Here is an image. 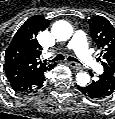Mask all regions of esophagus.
<instances>
[{
	"mask_svg": "<svg viewBox=\"0 0 115 119\" xmlns=\"http://www.w3.org/2000/svg\"><path fill=\"white\" fill-rule=\"evenodd\" d=\"M69 65L75 70H82V66L74 61H69Z\"/></svg>",
	"mask_w": 115,
	"mask_h": 119,
	"instance_id": "34e87169",
	"label": "esophagus"
}]
</instances>
